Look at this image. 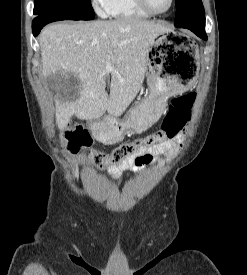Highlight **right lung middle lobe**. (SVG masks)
Listing matches in <instances>:
<instances>
[{
    "label": "right lung middle lobe",
    "mask_w": 247,
    "mask_h": 275,
    "mask_svg": "<svg viewBox=\"0 0 247 275\" xmlns=\"http://www.w3.org/2000/svg\"><path fill=\"white\" fill-rule=\"evenodd\" d=\"M33 13L38 16H57L63 20H91L94 11L91 0H34Z\"/></svg>",
    "instance_id": "right-lung-middle-lobe-1"
}]
</instances>
